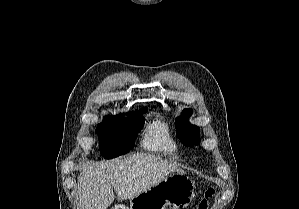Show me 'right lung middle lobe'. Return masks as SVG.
Here are the masks:
<instances>
[{
	"label": "right lung middle lobe",
	"instance_id": "1",
	"mask_svg": "<svg viewBox=\"0 0 299 209\" xmlns=\"http://www.w3.org/2000/svg\"><path fill=\"white\" fill-rule=\"evenodd\" d=\"M145 113V112H143ZM143 113L123 116H106L97 126L100 151L104 158L112 159L126 154L135 144L136 133L143 127Z\"/></svg>",
	"mask_w": 299,
	"mask_h": 209
}]
</instances>
